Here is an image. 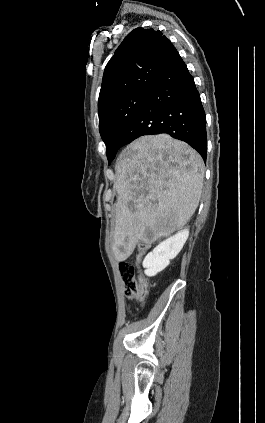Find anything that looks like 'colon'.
<instances>
[{"mask_svg":"<svg viewBox=\"0 0 265 423\" xmlns=\"http://www.w3.org/2000/svg\"><path fill=\"white\" fill-rule=\"evenodd\" d=\"M119 271L125 283V295L128 298L143 299L147 295V280L138 274L137 264L131 261L119 263Z\"/></svg>","mask_w":265,"mask_h":423,"instance_id":"obj_1","label":"colon"}]
</instances>
